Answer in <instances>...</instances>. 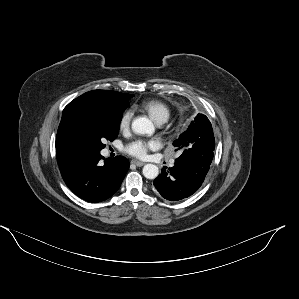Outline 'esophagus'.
Returning a JSON list of instances; mask_svg holds the SVG:
<instances>
[{"mask_svg":"<svg viewBox=\"0 0 299 299\" xmlns=\"http://www.w3.org/2000/svg\"><path fill=\"white\" fill-rule=\"evenodd\" d=\"M131 163L138 166V167H141L145 164L144 162H141V161H138V160H132Z\"/></svg>","mask_w":299,"mask_h":299,"instance_id":"34e87169","label":"esophagus"}]
</instances>
